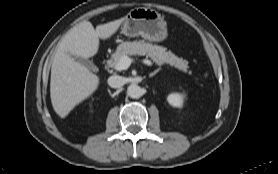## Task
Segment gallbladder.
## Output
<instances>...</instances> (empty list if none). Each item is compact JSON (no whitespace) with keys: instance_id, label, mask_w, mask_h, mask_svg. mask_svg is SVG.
Segmentation results:
<instances>
[{"instance_id":"1","label":"gallbladder","mask_w":278,"mask_h":174,"mask_svg":"<svg viewBox=\"0 0 278 174\" xmlns=\"http://www.w3.org/2000/svg\"><path fill=\"white\" fill-rule=\"evenodd\" d=\"M73 59L77 60L78 62L82 63L84 66L88 67L89 69L94 70L95 66L93 64L92 61L88 60V59H83L81 57L69 54Z\"/></svg>"}]
</instances>
